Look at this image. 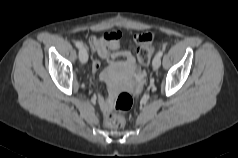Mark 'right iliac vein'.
<instances>
[{
	"mask_svg": "<svg viewBox=\"0 0 238 158\" xmlns=\"http://www.w3.org/2000/svg\"><path fill=\"white\" fill-rule=\"evenodd\" d=\"M79 60L83 64H85L88 61V52H87L86 48H81L79 50Z\"/></svg>",
	"mask_w": 238,
	"mask_h": 158,
	"instance_id": "1",
	"label": "right iliac vein"
}]
</instances>
